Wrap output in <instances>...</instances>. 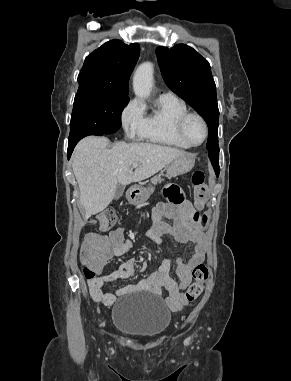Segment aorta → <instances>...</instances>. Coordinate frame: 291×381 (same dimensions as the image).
<instances>
[{
  "instance_id": "1",
  "label": "aorta",
  "mask_w": 291,
  "mask_h": 381,
  "mask_svg": "<svg viewBox=\"0 0 291 381\" xmlns=\"http://www.w3.org/2000/svg\"><path fill=\"white\" fill-rule=\"evenodd\" d=\"M153 72L154 68L150 62L141 64L135 71L133 90L137 97L147 98L150 95L153 86Z\"/></svg>"
}]
</instances>
